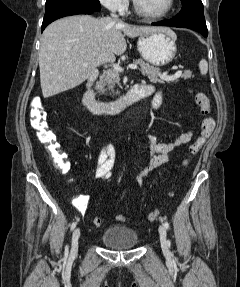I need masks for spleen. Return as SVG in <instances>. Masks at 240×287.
Segmentation results:
<instances>
[{"instance_id":"spleen-1","label":"spleen","mask_w":240,"mask_h":287,"mask_svg":"<svg viewBox=\"0 0 240 287\" xmlns=\"http://www.w3.org/2000/svg\"><path fill=\"white\" fill-rule=\"evenodd\" d=\"M199 69L202 75H206L208 72V63L205 59L199 62Z\"/></svg>"}]
</instances>
